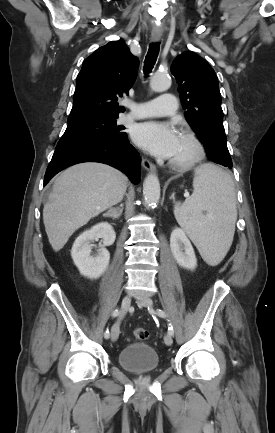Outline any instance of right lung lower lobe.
Here are the masks:
<instances>
[{"label": "right lung lower lobe", "instance_id": "1", "mask_svg": "<svg viewBox=\"0 0 275 433\" xmlns=\"http://www.w3.org/2000/svg\"><path fill=\"white\" fill-rule=\"evenodd\" d=\"M81 162L105 163L126 173L134 184L140 181L141 158L126 135L105 142L74 141L57 144L46 170L44 186L61 170Z\"/></svg>", "mask_w": 275, "mask_h": 433}]
</instances>
